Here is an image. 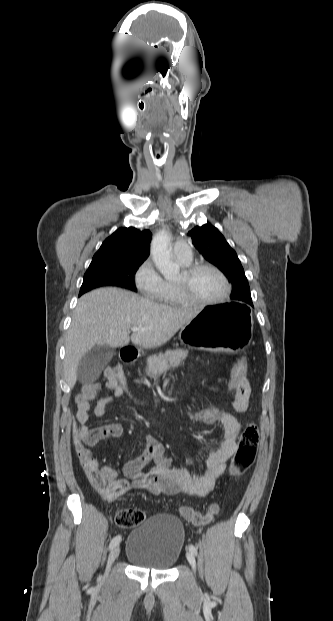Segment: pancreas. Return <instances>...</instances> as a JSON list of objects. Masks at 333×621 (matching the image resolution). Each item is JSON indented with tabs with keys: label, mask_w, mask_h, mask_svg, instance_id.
<instances>
[{
	"label": "pancreas",
	"mask_w": 333,
	"mask_h": 621,
	"mask_svg": "<svg viewBox=\"0 0 333 621\" xmlns=\"http://www.w3.org/2000/svg\"><path fill=\"white\" fill-rule=\"evenodd\" d=\"M188 350H167L165 353L153 355L147 358L146 374L154 377L162 374L170 368H175L187 357Z\"/></svg>",
	"instance_id": "cf45deb5"
}]
</instances>
